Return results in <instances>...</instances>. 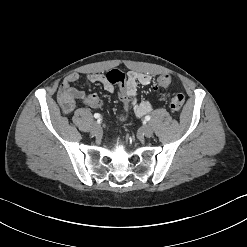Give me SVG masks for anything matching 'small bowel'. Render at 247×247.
Here are the masks:
<instances>
[{"label": "small bowel", "instance_id": "obj_1", "mask_svg": "<svg viewBox=\"0 0 247 247\" xmlns=\"http://www.w3.org/2000/svg\"><path fill=\"white\" fill-rule=\"evenodd\" d=\"M78 78L79 75L77 73H72L69 74L62 82L58 92V98L62 104L63 110L66 113L71 112L75 108L77 101H80L92 108H100L102 106V100L97 94H87L84 91L78 90L72 86ZM87 79L92 83H100L104 90L109 93H113L115 90L114 84L109 82L106 76L102 74L92 73L87 76ZM151 80L152 78L150 75L137 72H130L126 80V83L129 86L128 93L131 94V110L139 117L150 112L152 110V105L147 100L137 99V88L139 85L143 87L149 86Z\"/></svg>", "mask_w": 247, "mask_h": 247}]
</instances>
